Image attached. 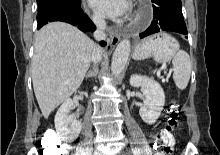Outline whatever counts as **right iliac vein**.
Returning <instances> with one entry per match:
<instances>
[{
  "mask_svg": "<svg viewBox=\"0 0 220 155\" xmlns=\"http://www.w3.org/2000/svg\"><path fill=\"white\" fill-rule=\"evenodd\" d=\"M94 155H100L99 153H95Z\"/></svg>",
  "mask_w": 220,
  "mask_h": 155,
  "instance_id": "1",
  "label": "right iliac vein"
}]
</instances>
